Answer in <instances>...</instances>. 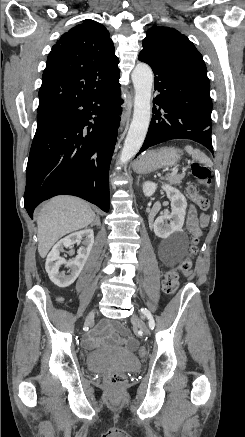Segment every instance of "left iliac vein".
<instances>
[{"label": "left iliac vein", "mask_w": 245, "mask_h": 437, "mask_svg": "<svg viewBox=\"0 0 245 437\" xmlns=\"http://www.w3.org/2000/svg\"><path fill=\"white\" fill-rule=\"evenodd\" d=\"M133 324H135L138 328H140L145 335L149 334V330L142 319H140L137 315H133L131 318Z\"/></svg>", "instance_id": "1"}]
</instances>
